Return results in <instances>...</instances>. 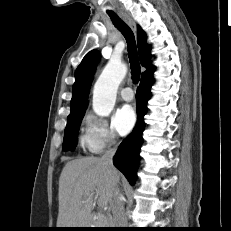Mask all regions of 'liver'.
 <instances>
[{
  "label": "liver",
  "instance_id": "6515ba94",
  "mask_svg": "<svg viewBox=\"0 0 231 231\" xmlns=\"http://www.w3.org/2000/svg\"><path fill=\"white\" fill-rule=\"evenodd\" d=\"M119 172L110 171L97 157L69 161L59 178L57 228H89L94 223L93 196L99 195L102 207L114 203L115 183Z\"/></svg>",
  "mask_w": 231,
  "mask_h": 231
}]
</instances>
